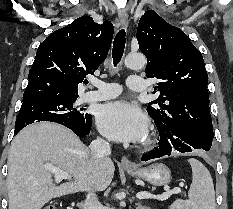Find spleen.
Here are the masks:
<instances>
[{
	"label": "spleen",
	"instance_id": "1",
	"mask_svg": "<svg viewBox=\"0 0 233 209\" xmlns=\"http://www.w3.org/2000/svg\"><path fill=\"white\" fill-rule=\"evenodd\" d=\"M192 183L188 200H176L170 209H216L213 180L207 168L197 159H189Z\"/></svg>",
	"mask_w": 233,
	"mask_h": 209
}]
</instances>
